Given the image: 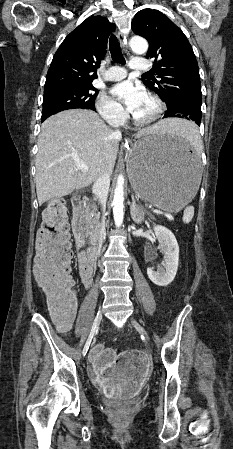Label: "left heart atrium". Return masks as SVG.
<instances>
[{"instance_id":"39dd6f15","label":"left heart atrium","mask_w":233,"mask_h":449,"mask_svg":"<svg viewBox=\"0 0 233 449\" xmlns=\"http://www.w3.org/2000/svg\"><path fill=\"white\" fill-rule=\"evenodd\" d=\"M111 93L120 99L124 103L126 110L133 115L138 112L147 97L146 93L140 87L130 81L115 85Z\"/></svg>"}]
</instances>
